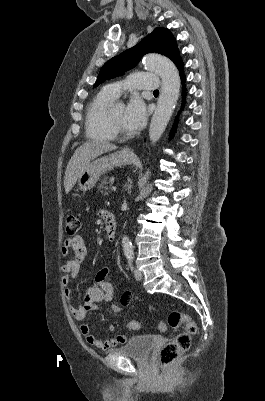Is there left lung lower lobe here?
<instances>
[{
  "label": "left lung lower lobe",
  "instance_id": "1",
  "mask_svg": "<svg viewBox=\"0 0 265 401\" xmlns=\"http://www.w3.org/2000/svg\"><path fill=\"white\" fill-rule=\"evenodd\" d=\"M182 62H179L178 64H177V67H178V69H179V71H180V75H181V79H182V82H184V78H185V76H184V74H183V71H182ZM185 95V87H184V85H183V96ZM175 127H176V123L173 125V128H172V130H171V133H170V136L172 137L173 136V134H174V130H175Z\"/></svg>",
  "mask_w": 265,
  "mask_h": 401
}]
</instances>
